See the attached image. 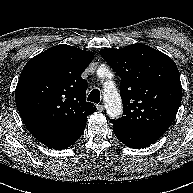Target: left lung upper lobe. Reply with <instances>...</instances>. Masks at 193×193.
Segmentation results:
<instances>
[{
    "label": "left lung upper lobe",
    "mask_w": 193,
    "mask_h": 193,
    "mask_svg": "<svg viewBox=\"0 0 193 193\" xmlns=\"http://www.w3.org/2000/svg\"><path fill=\"white\" fill-rule=\"evenodd\" d=\"M100 54L122 80L123 115L112 120L114 127L130 132H166L182 99L175 62L140 43L122 49L105 48Z\"/></svg>",
    "instance_id": "5c2ea615"
}]
</instances>
